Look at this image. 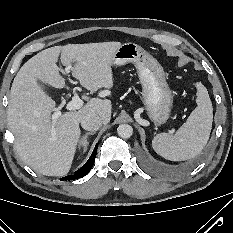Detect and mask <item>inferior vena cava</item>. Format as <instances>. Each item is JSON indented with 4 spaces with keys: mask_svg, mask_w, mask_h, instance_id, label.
<instances>
[{
    "mask_svg": "<svg viewBox=\"0 0 233 233\" xmlns=\"http://www.w3.org/2000/svg\"><path fill=\"white\" fill-rule=\"evenodd\" d=\"M102 120L95 114H86L81 119V126L88 131H97L102 126Z\"/></svg>",
    "mask_w": 233,
    "mask_h": 233,
    "instance_id": "obj_1",
    "label": "inferior vena cava"
}]
</instances>
